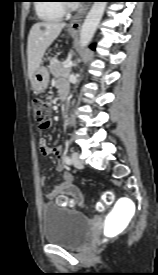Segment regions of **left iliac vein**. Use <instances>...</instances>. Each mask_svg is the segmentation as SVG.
Listing matches in <instances>:
<instances>
[{
  "mask_svg": "<svg viewBox=\"0 0 158 275\" xmlns=\"http://www.w3.org/2000/svg\"><path fill=\"white\" fill-rule=\"evenodd\" d=\"M72 163L74 167L78 169H82L84 167L83 161L80 160L79 154L76 152L72 153Z\"/></svg>",
  "mask_w": 158,
  "mask_h": 275,
  "instance_id": "4c4485c4",
  "label": "left iliac vein"
}]
</instances>
